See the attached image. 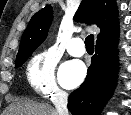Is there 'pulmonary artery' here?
I'll use <instances>...</instances> for the list:
<instances>
[{"label": "pulmonary artery", "mask_w": 131, "mask_h": 115, "mask_svg": "<svg viewBox=\"0 0 131 115\" xmlns=\"http://www.w3.org/2000/svg\"><path fill=\"white\" fill-rule=\"evenodd\" d=\"M67 51L71 56H83L85 53L83 40L80 37L72 38L68 43Z\"/></svg>", "instance_id": "obj_1"}]
</instances>
